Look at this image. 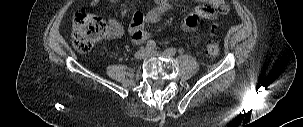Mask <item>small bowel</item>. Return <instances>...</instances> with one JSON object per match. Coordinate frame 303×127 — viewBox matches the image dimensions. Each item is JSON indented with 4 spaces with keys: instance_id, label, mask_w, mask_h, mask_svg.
I'll return each mask as SVG.
<instances>
[{
    "instance_id": "1",
    "label": "small bowel",
    "mask_w": 303,
    "mask_h": 127,
    "mask_svg": "<svg viewBox=\"0 0 303 127\" xmlns=\"http://www.w3.org/2000/svg\"><path fill=\"white\" fill-rule=\"evenodd\" d=\"M101 0H91L90 6L95 7ZM112 3H117L122 0H107ZM134 10L130 25L129 34L136 44H141L151 38V34L145 30L146 23H154L159 21L162 16L171 9V3L169 0H154L155 7L148 13L143 14L140 11L135 10L132 2L124 0ZM203 5L197 6L193 11L187 15L181 23L182 29L186 31L196 30L199 20H211L215 19L219 13H226L228 7L223 0H196ZM124 33L122 25L116 20H109V34L112 38L121 37Z\"/></svg>"
}]
</instances>
